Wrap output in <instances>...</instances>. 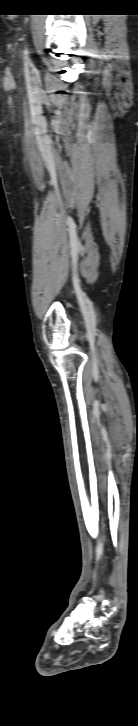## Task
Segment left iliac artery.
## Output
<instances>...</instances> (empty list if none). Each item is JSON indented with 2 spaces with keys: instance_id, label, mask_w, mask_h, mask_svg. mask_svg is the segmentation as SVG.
Returning a JSON list of instances; mask_svg holds the SVG:
<instances>
[{
  "instance_id": "1",
  "label": "left iliac artery",
  "mask_w": 138,
  "mask_h": 726,
  "mask_svg": "<svg viewBox=\"0 0 138 726\" xmlns=\"http://www.w3.org/2000/svg\"><path fill=\"white\" fill-rule=\"evenodd\" d=\"M23 56L26 61H29V50H28L27 46H25V48H24Z\"/></svg>"
}]
</instances>
